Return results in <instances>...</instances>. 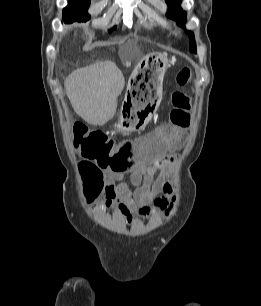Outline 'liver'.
<instances>
[{
  "label": "liver",
  "instance_id": "1",
  "mask_svg": "<svg viewBox=\"0 0 261 306\" xmlns=\"http://www.w3.org/2000/svg\"><path fill=\"white\" fill-rule=\"evenodd\" d=\"M64 85L74 111L91 125H104L116 113L125 79L115 63L105 61L74 70Z\"/></svg>",
  "mask_w": 261,
  "mask_h": 306
}]
</instances>
